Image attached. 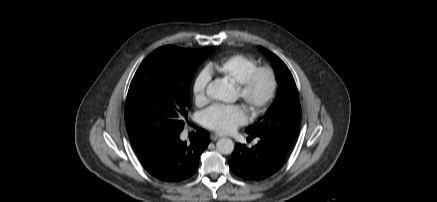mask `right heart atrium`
Returning a JSON list of instances; mask_svg holds the SVG:
<instances>
[{"instance_id": "obj_1", "label": "right heart atrium", "mask_w": 437, "mask_h": 202, "mask_svg": "<svg viewBox=\"0 0 437 202\" xmlns=\"http://www.w3.org/2000/svg\"><path fill=\"white\" fill-rule=\"evenodd\" d=\"M210 82V73L207 69L201 70L195 77L192 92L197 103H202L206 100V91Z\"/></svg>"}]
</instances>
